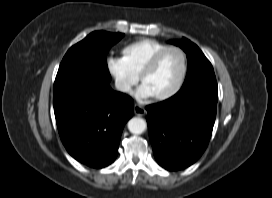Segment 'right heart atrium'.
I'll use <instances>...</instances> for the list:
<instances>
[{
  "label": "right heart atrium",
  "mask_w": 272,
  "mask_h": 198,
  "mask_svg": "<svg viewBox=\"0 0 272 198\" xmlns=\"http://www.w3.org/2000/svg\"><path fill=\"white\" fill-rule=\"evenodd\" d=\"M106 67L118 91L130 94L138 81V76L132 72L125 60L122 57L109 56L106 60Z\"/></svg>",
  "instance_id": "1"
}]
</instances>
